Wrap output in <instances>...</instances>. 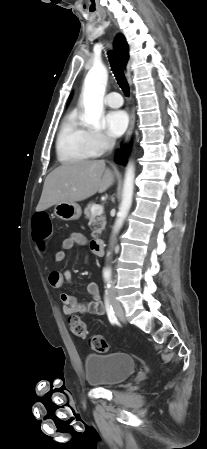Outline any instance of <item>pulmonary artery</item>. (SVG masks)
<instances>
[{
    "mask_svg": "<svg viewBox=\"0 0 207 449\" xmlns=\"http://www.w3.org/2000/svg\"><path fill=\"white\" fill-rule=\"evenodd\" d=\"M104 102L112 108H117L122 106L123 98L118 92H111L105 97Z\"/></svg>",
    "mask_w": 207,
    "mask_h": 449,
    "instance_id": "1",
    "label": "pulmonary artery"
}]
</instances>
